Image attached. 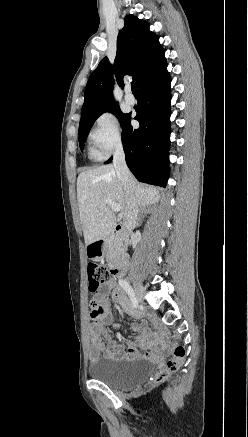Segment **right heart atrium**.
<instances>
[{
	"label": "right heart atrium",
	"instance_id": "1",
	"mask_svg": "<svg viewBox=\"0 0 248 437\" xmlns=\"http://www.w3.org/2000/svg\"><path fill=\"white\" fill-rule=\"evenodd\" d=\"M94 154L99 158L108 156L122 142L119 119L115 113L104 111L94 120L89 132Z\"/></svg>",
	"mask_w": 248,
	"mask_h": 437
}]
</instances>
